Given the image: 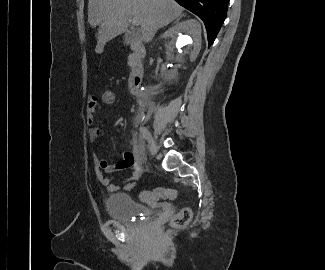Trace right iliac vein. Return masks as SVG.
<instances>
[{
    "label": "right iliac vein",
    "mask_w": 325,
    "mask_h": 270,
    "mask_svg": "<svg viewBox=\"0 0 325 270\" xmlns=\"http://www.w3.org/2000/svg\"><path fill=\"white\" fill-rule=\"evenodd\" d=\"M147 140L151 154L155 155L158 151V147L150 132H147Z\"/></svg>",
    "instance_id": "63e3f726"
}]
</instances>
